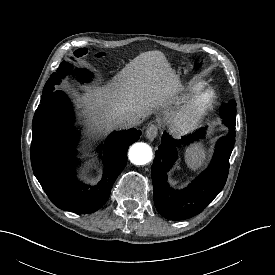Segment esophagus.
Returning a JSON list of instances; mask_svg holds the SVG:
<instances>
[{
    "label": "esophagus",
    "instance_id": "esophagus-1",
    "mask_svg": "<svg viewBox=\"0 0 275 275\" xmlns=\"http://www.w3.org/2000/svg\"><path fill=\"white\" fill-rule=\"evenodd\" d=\"M158 134V129L156 125H150L145 131V136L148 140L153 141Z\"/></svg>",
    "mask_w": 275,
    "mask_h": 275
}]
</instances>
